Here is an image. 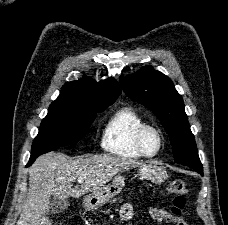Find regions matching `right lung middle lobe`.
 Instances as JSON below:
<instances>
[{"instance_id": "obj_1", "label": "right lung middle lobe", "mask_w": 228, "mask_h": 225, "mask_svg": "<svg viewBox=\"0 0 228 225\" xmlns=\"http://www.w3.org/2000/svg\"><path fill=\"white\" fill-rule=\"evenodd\" d=\"M108 106L54 101L34 139L32 152L76 144L84 138L96 114Z\"/></svg>"}]
</instances>
